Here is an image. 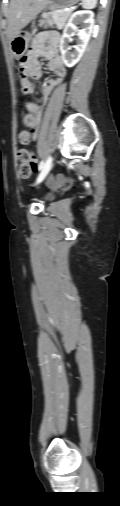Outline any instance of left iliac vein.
Here are the masks:
<instances>
[{
    "label": "left iliac vein",
    "mask_w": 120,
    "mask_h": 506,
    "mask_svg": "<svg viewBox=\"0 0 120 506\" xmlns=\"http://www.w3.org/2000/svg\"><path fill=\"white\" fill-rule=\"evenodd\" d=\"M52 163H53V158L49 157L47 159V161L45 162V165H44L43 169L41 170V173L39 174V176H38V178L36 180V183H40L47 176V174L49 173V171H50V169L52 167ZM45 172H47L46 175H44Z\"/></svg>",
    "instance_id": "obj_1"
}]
</instances>
